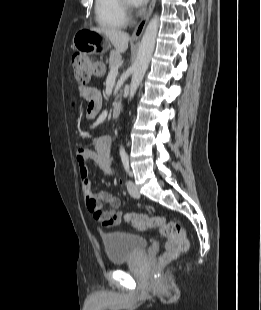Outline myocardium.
<instances>
[{"label": "myocardium", "mask_w": 261, "mask_h": 310, "mask_svg": "<svg viewBox=\"0 0 261 310\" xmlns=\"http://www.w3.org/2000/svg\"><path fill=\"white\" fill-rule=\"evenodd\" d=\"M124 11L128 9V0H119Z\"/></svg>", "instance_id": "obj_1"}]
</instances>
